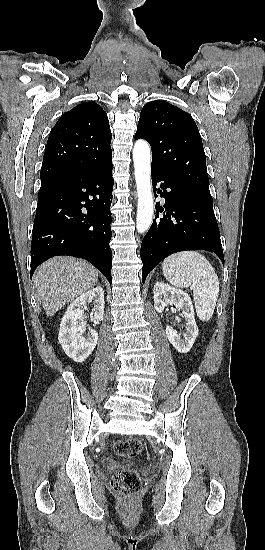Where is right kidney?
<instances>
[{
  "label": "right kidney",
  "mask_w": 265,
  "mask_h": 550,
  "mask_svg": "<svg viewBox=\"0 0 265 550\" xmlns=\"http://www.w3.org/2000/svg\"><path fill=\"white\" fill-rule=\"evenodd\" d=\"M89 303L94 305L90 315L91 321H101L105 305L104 290L98 286L77 297L68 306L60 324L59 342L67 356L77 363H82L89 357L98 341L96 330H91L87 337L82 336L87 325L84 310Z\"/></svg>",
  "instance_id": "obj_1"
}]
</instances>
